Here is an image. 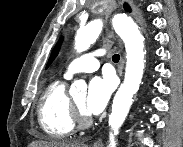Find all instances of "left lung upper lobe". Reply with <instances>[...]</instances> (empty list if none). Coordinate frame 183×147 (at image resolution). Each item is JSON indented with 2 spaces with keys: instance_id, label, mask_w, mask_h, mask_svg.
<instances>
[{
  "instance_id": "obj_1",
  "label": "left lung upper lobe",
  "mask_w": 183,
  "mask_h": 147,
  "mask_svg": "<svg viewBox=\"0 0 183 147\" xmlns=\"http://www.w3.org/2000/svg\"><path fill=\"white\" fill-rule=\"evenodd\" d=\"M124 8H125V10L126 11H130V7L127 5V4H125L124 5ZM62 38L58 41V43H57V45L55 46V48L53 49V51H52V53H51V56H50V59H49V61H48V65L47 66H49V64L54 60V58L56 57V55H57V53H58V51H59V48H60V45H61V42H62Z\"/></svg>"
}]
</instances>
